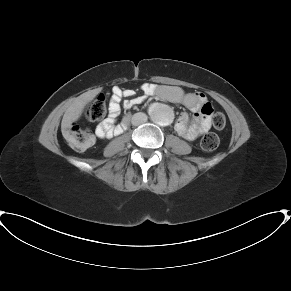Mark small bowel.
<instances>
[{"label":"small bowel","mask_w":291,"mask_h":291,"mask_svg":"<svg viewBox=\"0 0 291 291\" xmlns=\"http://www.w3.org/2000/svg\"><path fill=\"white\" fill-rule=\"evenodd\" d=\"M141 89L145 95L157 96L168 102L182 104L194 113L192 120H189L187 113H181L175 121L174 129L184 139L196 140L211 128V118L205 112L209 104L206 102V97L203 93L185 92L178 86L148 83L142 85ZM122 98H127L123 104L126 108L139 104L143 100L142 97L135 96V92L131 89L113 87L109 101L108 117L95 128L99 138L119 135L125 130L127 126L126 120H123L121 124H115L116 118L121 111L120 103Z\"/></svg>","instance_id":"small-bowel-1"}]
</instances>
